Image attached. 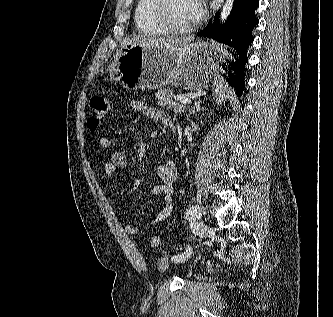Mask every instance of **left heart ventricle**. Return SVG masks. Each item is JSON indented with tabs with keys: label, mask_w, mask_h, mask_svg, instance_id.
I'll list each match as a JSON object with an SVG mask.
<instances>
[{
	"label": "left heart ventricle",
	"mask_w": 333,
	"mask_h": 317,
	"mask_svg": "<svg viewBox=\"0 0 333 317\" xmlns=\"http://www.w3.org/2000/svg\"><path fill=\"white\" fill-rule=\"evenodd\" d=\"M167 16L179 28H187L197 20L195 0H169Z\"/></svg>",
	"instance_id": "left-heart-ventricle-1"
}]
</instances>
